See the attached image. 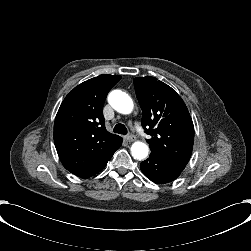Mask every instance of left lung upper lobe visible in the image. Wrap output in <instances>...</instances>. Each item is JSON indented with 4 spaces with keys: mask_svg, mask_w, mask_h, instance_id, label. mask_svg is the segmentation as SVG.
I'll return each mask as SVG.
<instances>
[{
    "mask_svg": "<svg viewBox=\"0 0 251 251\" xmlns=\"http://www.w3.org/2000/svg\"><path fill=\"white\" fill-rule=\"evenodd\" d=\"M134 87L142 109V126L148 128L151 154L187 165L193 148L194 126L188 109L167 84L155 77H137Z\"/></svg>",
    "mask_w": 251,
    "mask_h": 251,
    "instance_id": "1",
    "label": "left lung upper lobe"
}]
</instances>
